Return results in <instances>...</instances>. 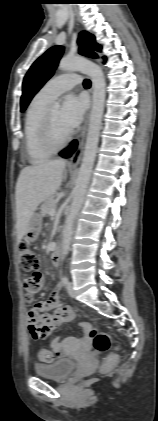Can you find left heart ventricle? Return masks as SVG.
Listing matches in <instances>:
<instances>
[{"label": "left heart ventricle", "instance_id": "1", "mask_svg": "<svg viewBox=\"0 0 158 421\" xmlns=\"http://www.w3.org/2000/svg\"><path fill=\"white\" fill-rule=\"evenodd\" d=\"M50 116L55 137L59 140L63 139L69 133V131L63 126L61 122L60 110H50Z\"/></svg>", "mask_w": 158, "mask_h": 421}]
</instances>
